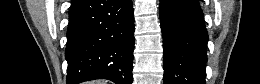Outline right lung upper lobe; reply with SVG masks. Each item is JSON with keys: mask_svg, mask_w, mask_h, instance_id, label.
I'll list each match as a JSON object with an SVG mask.
<instances>
[{"mask_svg": "<svg viewBox=\"0 0 260 84\" xmlns=\"http://www.w3.org/2000/svg\"><path fill=\"white\" fill-rule=\"evenodd\" d=\"M78 0H72V3H75V2H77Z\"/></svg>", "mask_w": 260, "mask_h": 84, "instance_id": "cb5924a9", "label": "right lung upper lobe"}]
</instances>
